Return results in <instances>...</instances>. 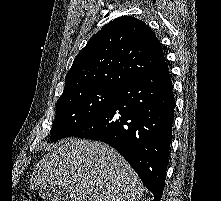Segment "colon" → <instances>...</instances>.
Masks as SVG:
<instances>
[{
	"label": "colon",
	"instance_id": "colon-1",
	"mask_svg": "<svg viewBox=\"0 0 221 201\" xmlns=\"http://www.w3.org/2000/svg\"><path fill=\"white\" fill-rule=\"evenodd\" d=\"M16 201H32V199L28 194L24 193Z\"/></svg>",
	"mask_w": 221,
	"mask_h": 201
}]
</instances>
